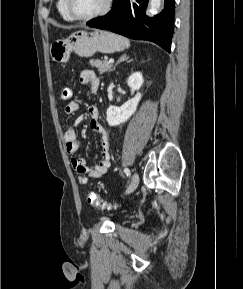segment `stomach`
Returning <instances> with one entry per match:
<instances>
[{
  "label": "stomach",
  "instance_id": "stomach-1",
  "mask_svg": "<svg viewBox=\"0 0 243 289\" xmlns=\"http://www.w3.org/2000/svg\"><path fill=\"white\" fill-rule=\"evenodd\" d=\"M129 47L123 36L103 30L73 32L67 39L56 40L50 45V57L54 62L67 63L71 52L81 57H90L96 52L114 53Z\"/></svg>",
  "mask_w": 243,
  "mask_h": 289
}]
</instances>
